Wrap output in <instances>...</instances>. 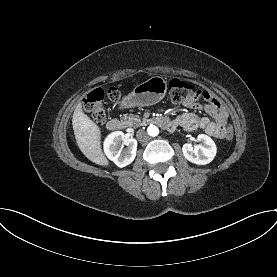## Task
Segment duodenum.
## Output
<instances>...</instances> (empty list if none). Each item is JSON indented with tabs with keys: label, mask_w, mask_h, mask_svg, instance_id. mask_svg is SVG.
I'll use <instances>...</instances> for the list:
<instances>
[{
	"label": "duodenum",
	"mask_w": 277,
	"mask_h": 277,
	"mask_svg": "<svg viewBox=\"0 0 277 277\" xmlns=\"http://www.w3.org/2000/svg\"><path fill=\"white\" fill-rule=\"evenodd\" d=\"M154 121L168 130H173L175 128V124L167 118H155ZM122 127L123 122L120 119L112 118L107 122V128L111 131L119 130Z\"/></svg>",
	"instance_id": "obj_1"
}]
</instances>
